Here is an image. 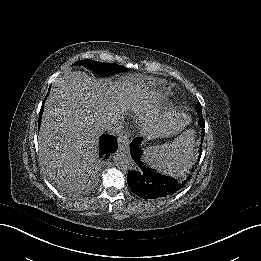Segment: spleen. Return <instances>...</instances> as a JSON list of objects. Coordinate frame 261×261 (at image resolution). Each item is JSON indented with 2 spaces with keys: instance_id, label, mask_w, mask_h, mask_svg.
Segmentation results:
<instances>
[{
  "instance_id": "obj_1",
  "label": "spleen",
  "mask_w": 261,
  "mask_h": 261,
  "mask_svg": "<svg viewBox=\"0 0 261 261\" xmlns=\"http://www.w3.org/2000/svg\"><path fill=\"white\" fill-rule=\"evenodd\" d=\"M195 132L184 131L170 144L154 146L148 151L150 162L163 173L182 176L194 159Z\"/></svg>"
}]
</instances>
